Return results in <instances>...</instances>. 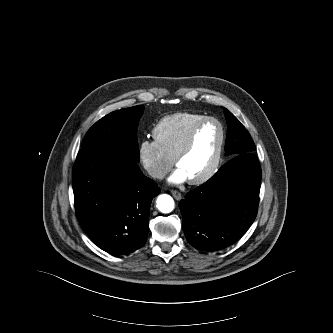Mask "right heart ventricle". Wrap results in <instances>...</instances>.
Segmentation results:
<instances>
[{
	"label": "right heart ventricle",
	"instance_id": "right-heart-ventricle-1",
	"mask_svg": "<svg viewBox=\"0 0 333 333\" xmlns=\"http://www.w3.org/2000/svg\"><path fill=\"white\" fill-rule=\"evenodd\" d=\"M205 118V115L189 112L165 116L152 130L154 142L168 158L173 159L191 129Z\"/></svg>",
	"mask_w": 333,
	"mask_h": 333
}]
</instances>
